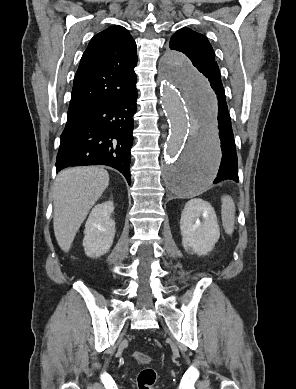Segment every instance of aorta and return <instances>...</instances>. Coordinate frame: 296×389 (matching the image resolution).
Returning <instances> with one entry per match:
<instances>
[{
    "mask_svg": "<svg viewBox=\"0 0 296 389\" xmlns=\"http://www.w3.org/2000/svg\"><path fill=\"white\" fill-rule=\"evenodd\" d=\"M159 71L161 102L170 128L164 149L166 187L195 196L209 189L220 165L217 92L180 52L168 51Z\"/></svg>",
    "mask_w": 296,
    "mask_h": 389,
    "instance_id": "aorta-1",
    "label": "aorta"
}]
</instances>
